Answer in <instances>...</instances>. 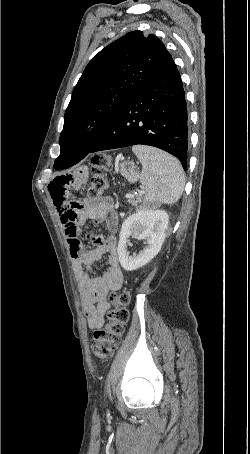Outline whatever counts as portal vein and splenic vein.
I'll use <instances>...</instances> for the list:
<instances>
[{
  "instance_id": "obj_1",
  "label": "portal vein and splenic vein",
  "mask_w": 250,
  "mask_h": 454,
  "mask_svg": "<svg viewBox=\"0 0 250 454\" xmlns=\"http://www.w3.org/2000/svg\"><path fill=\"white\" fill-rule=\"evenodd\" d=\"M140 193H143V190L140 191ZM126 198H133L134 196L132 194L125 195Z\"/></svg>"
}]
</instances>
